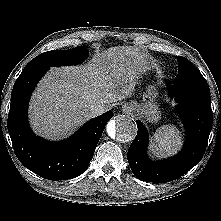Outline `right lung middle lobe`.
Listing matches in <instances>:
<instances>
[{"mask_svg":"<svg viewBox=\"0 0 221 221\" xmlns=\"http://www.w3.org/2000/svg\"><path fill=\"white\" fill-rule=\"evenodd\" d=\"M88 49L76 47L70 50H53L42 53L31 60L25 68L32 66H63L82 63L88 57Z\"/></svg>","mask_w":221,"mask_h":221,"instance_id":"dd1d6c3e","label":"right lung middle lobe"}]
</instances>
